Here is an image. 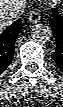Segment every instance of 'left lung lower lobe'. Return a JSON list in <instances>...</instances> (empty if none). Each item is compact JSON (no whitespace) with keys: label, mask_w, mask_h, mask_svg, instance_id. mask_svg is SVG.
<instances>
[{"label":"left lung lower lobe","mask_w":63,"mask_h":107,"mask_svg":"<svg viewBox=\"0 0 63 107\" xmlns=\"http://www.w3.org/2000/svg\"><path fill=\"white\" fill-rule=\"evenodd\" d=\"M50 26L56 41V50L53 57L56 65L63 71V16L57 9L52 11Z\"/></svg>","instance_id":"0a47b994"}]
</instances>
